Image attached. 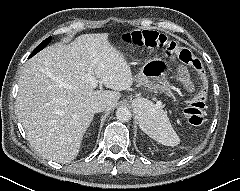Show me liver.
<instances>
[{
    "label": "liver",
    "instance_id": "obj_1",
    "mask_svg": "<svg viewBox=\"0 0 240 191\" xmlns=\"http://www.w3.org/2000/svg\"><path fill=\"white\" fill-rule=\"evenodd\" d=\"M107 33L83 34L69 45L46 47L26 62L19 78L16 114L27 139L43 157L74 160L96 103L113 109L134 81ZM86 75L111 90H94Z\"/></svg>",
    "mask_w": 240,
    "mask_h": 191
}]
</instances>
